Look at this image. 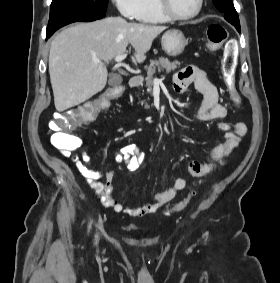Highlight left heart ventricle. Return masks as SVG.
I'll return each mask as SVG.
<instances>
[{"label": "left heart ventricle", "mask_w": 280, "mask_h": 283, "mask_svg": "<svg viewBox=\"0 0 280 283\" xmlns=\"http://www.w3.org/2000/svg\"><path fill=\"white\" fill-rule=\"evenodd\" d=\"M172 10L180 15H187L195 11L198 0H169Z\"/></svg>", "instance_id": "1"}]
</instances>
